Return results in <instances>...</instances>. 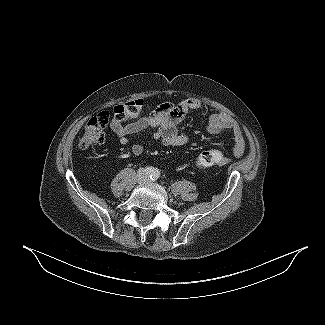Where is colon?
<instances>
[{"label": "colon", "mask_w": 325, "mask_h": 325, "mask_svg": "<svg viewBox=\"0 0 325 325\" xmlns=\"http://www.w3.org/2000/svg\"><path fill=\"white\" fill-rule=\"evenodd\" d=\"M143 109L142 100H134L125 104H119L113 108V120L126 121L137 118L141 115ZM110 113L105 111L91 118L83 131L79 140L81 149H88L100 145L105 141L106 128L110 120ZM223 155L218 149H207L202 151L196 161V168H207L218 165L223 162Z\"/></svg>", "instance_id": "1"}]
</instances>
